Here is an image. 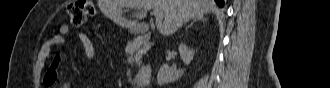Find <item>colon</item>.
Segmentation results:
<instances>
[{
    "label": "colon",
    "mask_w": 330,
    "mask_h": 88,
    "mask_svg": "<svg viewBox=\"0 0 330 88\" xmlns=\"http://www.w3.org/2000/svg\"><path fill=\"white\" fill-rule=\"evenodd\" d=\"M95 13L92 1L80 0L68 7L67 14L71 25L79 27L87 22Z\"/></svg>",
    "instance_id": "1"
}]
</instances>
